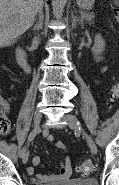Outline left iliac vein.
I'll return each instance as SVG.
<instances>
[{
  "label": "left iliac vein",
  "mask_w": 119,
  "mask_h": 185,
  "mask_svg": "<svg viewBox=\"0 0 119 185\" xmlns=\"http://www.w3.org/2000/svg\"><path fill=\"white\" fill-rule=\"evenodd\" d=\"M63 119L68 123L69 127L71 129H73L74 131L78 132V133H81L87 143H88V146L91 150V152L93 154H96L97 153V146L95 144V142L92 140V138L84 131V129L82 128V126L79 124V122L77 121L76 117L71 115V114H66L64 115Z\"/></svg>",
  "instance_id": "left-iliac-vein-1"
}]
</instances>
